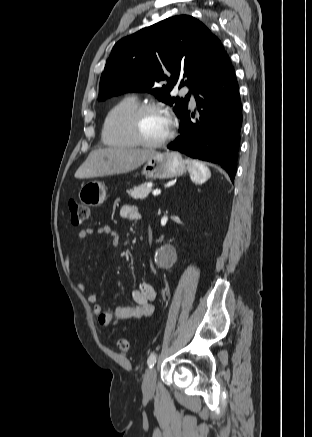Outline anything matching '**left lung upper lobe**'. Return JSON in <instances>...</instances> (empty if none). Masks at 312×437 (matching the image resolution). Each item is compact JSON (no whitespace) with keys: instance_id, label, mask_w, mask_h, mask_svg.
<instances>
[{"instance_id":"obj_1","label":"left lung upper lobe","mask_w":312,"mask_h":437,"mask_svg":"<svg viewBox=\"0 0 312 437\" xmlns=\"http://www.w3.org/2000/svg\"><path fill=\"white\" fill-rule=\"evenodd\" d=\"M225 53L220 40L197 19L180 15L167 18L118 41L102 73L98 100L126 92H149L175 105L180 117L185 99L170 96L176 84L192 91L204 82ZM166 85L159 87L163 82Z\"/></svg>"}]
</instances>
